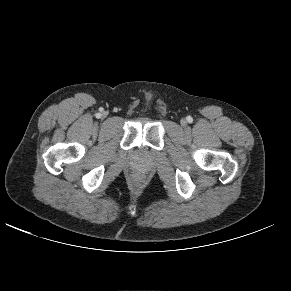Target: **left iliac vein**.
<instances>
[{
    "instance_id": "4c4485c4",
    "label": "left iliac vein",
    "mask_w": 291,
    "mask_h": 291,
    "mask_svg": "<svg viewBox=\"0 0 291 291\" xmlns=\"http://www.w3.org/2000/svg\"><path fill=\"white\" fill-rule=\"evenodd\" d=\"M186 124H187L186 120H185V119H182V120H181V125H182V126H186Z\"/></svg>"
}]
</instances>
